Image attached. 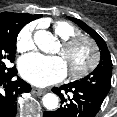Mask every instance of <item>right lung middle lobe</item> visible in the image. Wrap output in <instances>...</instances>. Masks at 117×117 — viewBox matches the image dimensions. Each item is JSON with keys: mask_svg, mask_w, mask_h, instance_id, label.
<instances>
[{"mask_svg": "<svg viewBox=\"0 0 117 117\" xmlns=\"http://www.w3.org/2000/svg\"><path fill=\"white\" fill-rule=\"evenodd\" d=\"M27 23L24 18L15 15L0 21V72L8 69L5 62L14 61L18 33Z\"/></svg>", "mask_w": 117, "mask_h": 117, "instance_id": "1", "label": "right lung middle lobe"}]
</instances>
